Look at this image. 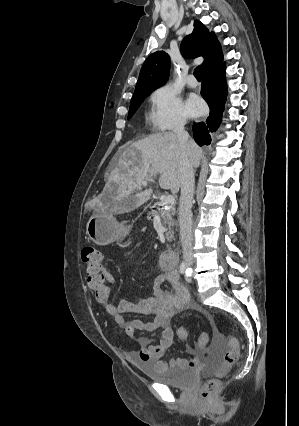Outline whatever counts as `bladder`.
<instances>
[{"mask_svg": "<svg viewBox=\"0 0 299 426\" xmlns=\"http://www.w3.org/2000/svg\"><path fill=\"white\" fill-rule=\"evenodd\" d=\"M135 362L138 363L141 372L147 378L181 390L191 388L197 379L196 372L190 368L167 367L159 369L148 362Z\"/></svg>", "mask_w": 299, "mask_h": 426, "instance_id": "bladder-1", "label": "bladder"}]
</instances>
